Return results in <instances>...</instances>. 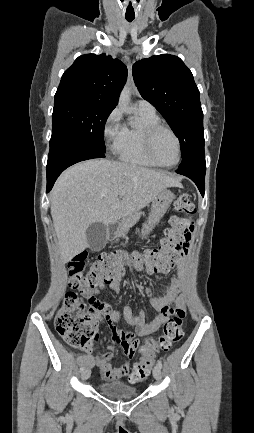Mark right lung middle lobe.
Returning a JSON list of instances; mask_svg holds the SVG:
<instances>
[{
    "instance_id": "dd1d6c3e",
    "label": "right lung middle lobe",
    "mask_w": 254,
    "mask_h": 433,
    "mask_svg": "<svg viewBox=\"0 0 254 433\" xmlns=\"http://www.w3.org/2000/svg\"><path fill=\"white\" fill-rule=\"evenodd\" d=\"M112 110L96 103L67 102L54 105L50 146L69 138L105 153L104 127Z\"/></svg>"
}]
</instances>
